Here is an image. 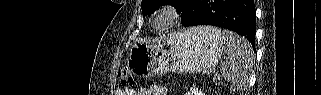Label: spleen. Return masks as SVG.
<instances>
[{
	"label": "spleen",
	"mask_w": 321,
	"mask_h": 95,
	"mask_svg": "<svg viewBox=\"0 0 321 95\" xmlns=\"http://www.w3.org/2000/svg\"><path fill=\"white\" fill-rule=\"evenodd\" d=\"M206 36L224 44L227 59L222 76L238 89L248 84V77L254 63V53L250 43L243 37L230 31H221L214 27H199Z\"/></svg>",
	"instance_id": "3e777b00"
}]
</instances>
